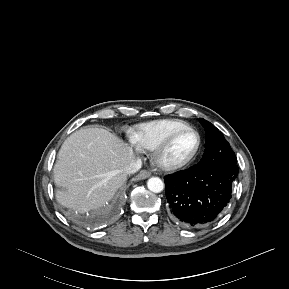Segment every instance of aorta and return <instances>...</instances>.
Segmentation results:
<instances>
[{"mask_svg":"<svg viewBox=\"0 0 289 289\" xmlns=\"http://www.w3.org/2000/svg\"><path fill=\"white\" fill-rule=\"evenodd\" d=\"M147 187L154 193H160L164 189V183L158 177H151L147 181Z\"/></svg>","mask_w":289,"mask_h":289,"instance_id":"762f6f07","label":"aorta"}]
</instances>
